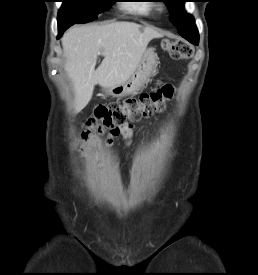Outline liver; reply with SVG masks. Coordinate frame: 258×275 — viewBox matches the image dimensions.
Masks as SVG:
<instances>
[{"mask_svg": "<svg viewBox=\"0 0 258 275\" xmlns=\"http://www.w3.org/2000/svg\"><path fill=\"white\" fill-rule=\"evenodd\" d=\"M162 37L153 27L116 21L102 25L76 26L62 37L65 71L75 94V113L91 100L96 84L112 88L125 82L136 70L148 43ZM99 55L104 59L97 69Z\"/></svg>", "mask_w": 258, "mask_h": 275, "instance_id": "obj_1", "label": "liver"}]
</instances>
